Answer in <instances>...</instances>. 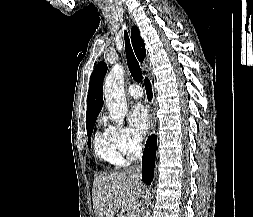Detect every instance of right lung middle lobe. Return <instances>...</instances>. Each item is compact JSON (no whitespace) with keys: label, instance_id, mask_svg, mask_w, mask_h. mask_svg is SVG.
I'll list each match as a JSON object with an SVG mask.
<instances>
[{"label":"right lung middle lobe","instance_id":"dd1d6c3e","mask_svg":"<svg viewBox=\"0 0 253 217\" xmlns=\"http://www.w3.org/2000/svg\"><path fill=\"white\" fill-rule=\"evenodd\" d=\"M95 120H92V121H89L87 122V134H88V137L91 136L92 132H93V128H94V125H95ZM90 145H91V140L89 139L88 140V146L90 148Z\"/></svg>","mask_w":253,"mask_h":217}]
</instances>
